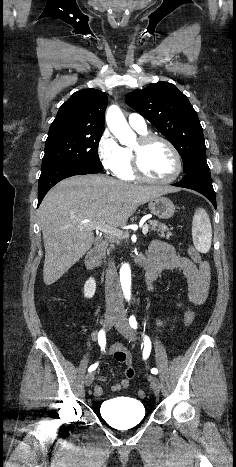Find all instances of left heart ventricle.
I'll return each mask as SVG.
<instances>
[{
    "instance_id": "left-heart-ventricle-1",
    "label": "left heart ventricle",
    "mask_w": 236,
    "mask_h": 467,
    "mask_svg": "<svg viewBox=\"0 0 236 467\" xmlns=\"http://www.w3.org/2000/svg\"><path fill=\"white\" fill-rule=\"evenodd\" d=\"M137 144L138 142L134 147ZM142 167L150 177L165 179L174 173L176 162L172 152L164 143L153 142L143 151Z\"/></svg>"
}]
</instances>
